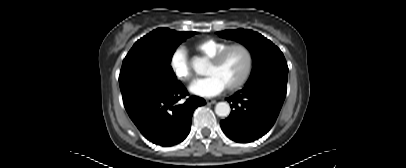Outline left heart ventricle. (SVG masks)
Instances as JSON below:
<instances>
[{
  "label": "left heart ventricle",
  "mask_w": 406,
  "mask_h": 168,
  "mask_svg": "<svg viewBox=\"0 0 406 168\" xmlns=\"http://www.w3.org/2000/svg\"><path fill=\"white\" fill-rule=\"evenodd\" d=\"M246 66V55L241 48L230 50L218 66L207 65L206 75L216 76L226 87L236 83Z\"/></svg>",
  "instance_id": "1"
}]
</instances>
